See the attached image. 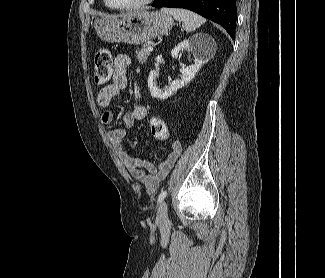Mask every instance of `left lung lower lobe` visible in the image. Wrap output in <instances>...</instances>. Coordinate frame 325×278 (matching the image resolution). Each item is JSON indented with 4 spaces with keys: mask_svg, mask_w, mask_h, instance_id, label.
<instances>
[{
    "mask_svg": "<svg viewBox=\"0 0 325 278\" xmlns=\"http://www.w3.org/2000/svg\"><path fill=\"white\" fill-rule=\"evenodd\" d=\"M154 7H176L192 10L222 25L235 38L236 0H155Z\"/></svg>",
    "mask_w": 325,
    "mask_h": 278,
    "instance_id": "left-lung-lower-lobe-1",
    "label": "left lung lower lobe"
}]
</instances>
